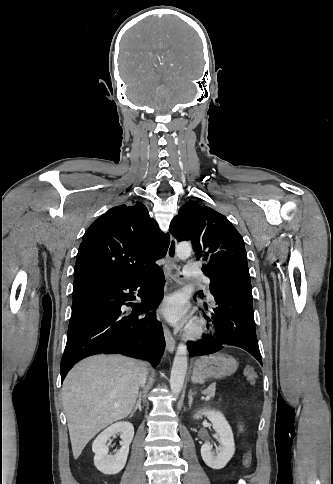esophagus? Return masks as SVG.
Returning a JSON list of instances; mask_svg holds the SVG:
<instances>
[{"mask_svg":"<svg viewBox=\"0 0 333 484\" xmlns=\"http://www.w3.org/2000/svg\"><path fill=\"white\" fill-rule=\"evenodd\" d=\"M176 245H177L176 240L174 238H171L169 247L167 250V255H166V264L164 267V271L167 279H169L172 276V269L174 268L175 262L177 260ZM163 331H164V337L166 342V348L170 353H172L175 350V339L172 336L169 328L165 324H163Z\"/></svg>","mask_w":333,"mask_h":484,"instance_id":"esophagus-1","label":"esophagus"}]
</instances>
